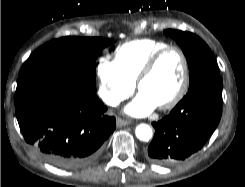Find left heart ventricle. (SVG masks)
<instances>
[{
	"label": "left heart ventricle",
	"instance_id": "b2bd125f",
	"mask_svg": "<svg viewBox=\"0 0 245 187\" xmlns=\"http://www.w3.org/2000/svg\"><path fill=\"white\" fill-rule=\"evenodd\" d=\"M182 74L183 65L179 54L170 51L159 60L152 74L141 84L139 91L147 94L159 106L176 93Z\"/></svg>",
	"mask_w": 245,
	"mask_h": 187
}]
</instances>
